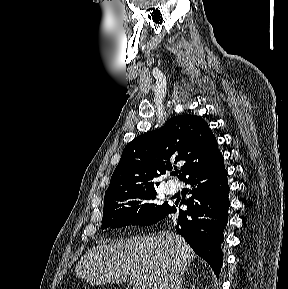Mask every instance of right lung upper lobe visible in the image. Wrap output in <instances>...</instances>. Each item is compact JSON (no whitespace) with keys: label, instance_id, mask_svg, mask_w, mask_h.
Listing matches in <instances>:
<instances>
[{"label":"right lung upper lobe","instance_id":"1","mask_svg":"<svg viewBox=\"0 0 288 289\" xmlns=\"http://www.w3.org/2000/svg\"><path fill=\"white\" fill-rule=\"evenodd\" d=\"M218 152L217 140L203 119L173 117L126 145L105 194L154 187V179L172 170V162H185L179 176L185 180Z\"/></svg>","mask_w":288,"mask_h":289}]
</instances>
